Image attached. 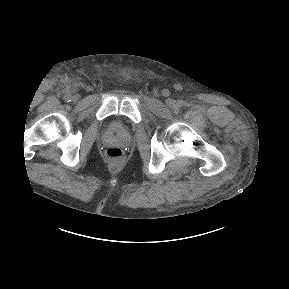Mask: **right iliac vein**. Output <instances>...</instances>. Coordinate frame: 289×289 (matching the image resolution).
Segmentation results:
<instances>
[{
  "mask_svg": "<svg viewBox=\"0 0 289 289\" xmlns=\"http://www.w3.org/2000/svg\"><path fill=\"white\" fill-rule=\"evenodd\" d=\"M79 99V95L78 94H75L73 97H72V100L73 101H77Z\"/></svg>",
  "mask_w": 289,
  "mask_h": 289,
  "instance_id": "1",
  "label": "right iliac vein"
}]
</instances>
